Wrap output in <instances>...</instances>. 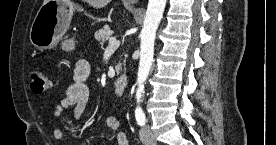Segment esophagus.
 Masks as SVG:
<instances>
[{
	"instance_id": "34e87169",
	"label": "esophagus",
	"mask_w": 276,
	"mask_h": 145,
	"mask_svg": "<svg viewBox=\"0 0 276 145\" xmlns=\"http://www.w3.org/2000/svg\"><path fill=\"white\" fill-rule=\"evenodd\" d=\"M129 4H135L138 2V0H126Z\"/></svg>"
}]
</instances>
